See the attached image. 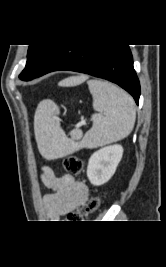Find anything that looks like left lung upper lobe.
<instances>
[{"label": "left lung upper lobe", "mask_w": 166, "mask_h": 267, "mask_svg": "<svg viewBox=\"0 0 166 267\" xmlns=\"http://www.w3.org/2000/svg\"><path fill=\"white\" fill-rule=\"evenodd\" d=\"M58 46L59 45H29L26 67L19 75V78L23 81L34 79L41 67Z\"/></svg>", "instance_id": "5c2ea615"}]
</instances>
